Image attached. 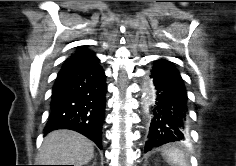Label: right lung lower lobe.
Returning <instances> with one entry per match:
<instances>
[{"label":"right lung lower lobe","mask_w":236,"mask_h":166,"mask_svg":"<svg viewBox=\"0 0 236 166\" xmlns=\"http://www.w3.org/2000/svg\"><path fill=\"white\" fill-rule=\"evenodd\" d=\"M99 62L97 59L83 65L62 67L53 87L45 133L56 129L75 130L102 149L107 85Z\"/></svg>","instance_id":"98d812e1"}]
</instances>
